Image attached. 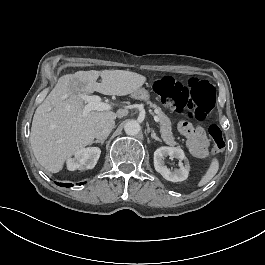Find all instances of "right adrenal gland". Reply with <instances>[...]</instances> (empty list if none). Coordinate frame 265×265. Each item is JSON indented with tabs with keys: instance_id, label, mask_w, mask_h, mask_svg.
Listing matches in <instances>:
<instances>
[{
	"instance_id": "2a0ac1e0",
	"label": "right adrenal gland",
	"mask_w": 265,
	"mask_h": 265,
	"mask_svg": "<svg viewBox=\"0 0 265 265\" xmlns=\"http://www.w3.org/2000/svg\"><path fill=\"white\" fill-rule=\"evenodd\" d=\"M104 139H102V140H95V141H92V143H101V144H103L104 143Z\"/></svg>"
}]
</instances>
